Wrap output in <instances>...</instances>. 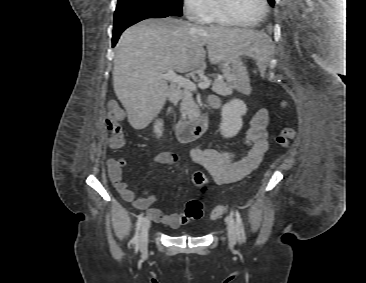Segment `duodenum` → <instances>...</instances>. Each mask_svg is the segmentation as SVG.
I'll list each match as a JSON object with an SVG mask.
<instances>
[{
  "label": "duodenum",
  "mask_w": 366,
  "mask_h": 283,
  "mask_svg": "<svg viewBox=\"0 0 366 283\" xmlns=\"http://www.w3.org/2000/svg\"><path fill=\"white\" fill-rule=\"evenodd\" d=\"M215 103L209 99L207 109L194 118L180 121L176 125V136L181 142H187L199 137L208 127L209 109H213Z\"/></svg>",
  "instance_id": "410a0bca"
}]
</instances>
